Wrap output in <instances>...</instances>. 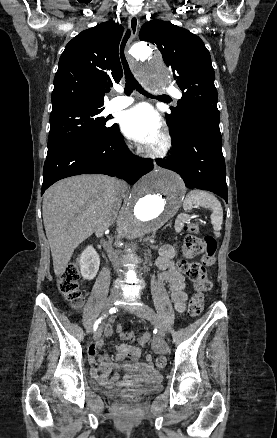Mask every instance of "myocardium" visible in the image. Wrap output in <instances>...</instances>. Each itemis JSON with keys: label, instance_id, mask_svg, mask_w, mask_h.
Segmentation results:
<instances>
[{"label": "myocardium", "instance_id": "f54148a6", "mask_svg": "<svg viewBox=\"0 0 277 438\" xmlns=\"http://www.w3.org/2000/svg\"><path fill=\"white\" fill-rule=\"evenodd\" d=\"M127 50H129V48ZM160 140H161V143H160L159 148H157L155 150H151L149 152L153 157L165 156L171 147V138L167 133L164 132L161 135Z\"/></svg>", "mask_w": 277, "mask_h": 438}]
</instances>
